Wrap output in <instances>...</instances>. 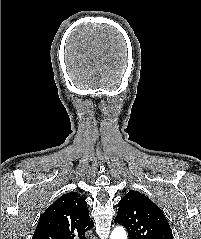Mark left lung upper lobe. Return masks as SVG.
I'll return each instance as SVG.
<instances>
[{"label":"left lung upper lobe","instance_id":"5c2ea615","mask_svg":"<svg viewBox=\"0 0 201 239\" xmlns=\"http://www.w3.org/2000/svg\"><path fill=\"white\" fill-rule=\"evenodd\" d=\"M115 221L126 227L129 239H173L163 212L138 191H129L119 201Z\"/></svg>","mask_w":201,"mask_h":239}]
</instances>
